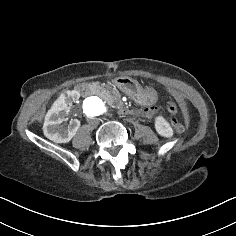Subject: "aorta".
<instances>
[{
	"label": "aorta",
	"mask_w": 236,
	"mask_h": 236,
	"mask_svg": "<svg viewBox=\"0 0 236 236\" xmlns=\"http://www.w3.org/2000/svg\"><path fill=\"white\" fill-rule=\"evenodd\" d=\"M105 102L97 96L87 97L83 101L82 112L87 118L101 117L106 113Z\"/></svg>",
	"instance_id": "obj_1"
}]
</instances>
